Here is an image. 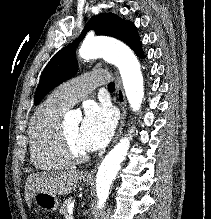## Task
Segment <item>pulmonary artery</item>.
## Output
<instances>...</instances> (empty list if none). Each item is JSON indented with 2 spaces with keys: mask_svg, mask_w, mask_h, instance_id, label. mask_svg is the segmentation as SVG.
Masks as SVG:
<instances>
[{
  "mask_svg": "<svg viewBox=\"0 0 211 219\" xmlns=\"http://www.w3.org/2000/svg\"><path fill=\"white\" fill-rule=\"evenodd\" d=\"M108 80L109 75L105 71L85 72L59 86L49 98L64 108H70L85 97L91 89Z\"/></svg>",
  "mask_w": 211,
  "mask_h": 219,
  "instance_id": "pulmonary-artery-1",
  "label": "pulmonary artery"
}]
</instances>
